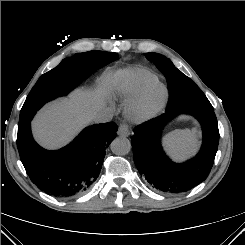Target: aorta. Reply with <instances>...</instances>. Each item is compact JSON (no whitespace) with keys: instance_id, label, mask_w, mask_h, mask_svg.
Instances as JSON below:
<instances>
[{"instance_id":"obj_1","label":"aorta","mask_w":245,"mask_h":245,"mask_svg":"<svg viewBox=\"0 0 245 245\" xmlns=\"http://www.w3.org/2000/svg\"><path fill=\"white\" fill-rule=\"evenodd\" d=\"M131 150V142L125 137H119L112 141L111 151L116 155H126Z\"/></svg>"}]
</instances>
